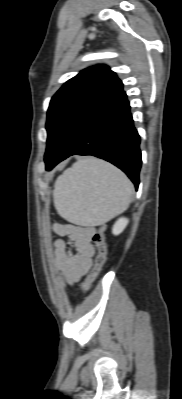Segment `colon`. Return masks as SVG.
Masks as SVG:
<instances>
[{"instance_id":"5ec220e1","label":"colon","mask_w":182,"mask_h":399,"mask_svg":"<svg viewBox=\"0 0 182 399\" xmlns=\"http://www.w3.org/2000/svg\"><path fill=\"white\" fill-rule=\"evenodd\" d=\"M92 242L97 250V256L91 272L82 284L83 291H87L91 287L98 275L101 273L102 268L107 260V247L105 243L104 226H100L95 230L92 237Z\"/></svg>"}]
</instances>
